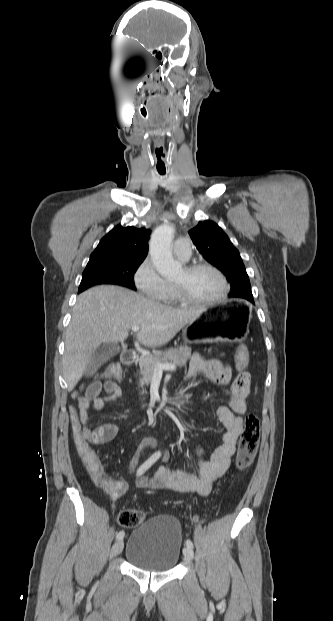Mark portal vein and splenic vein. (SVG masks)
<instances>
[{"mask_svg":"<svg viewBox=\"0 0 333 621\" xmlns=\"http://www.w3.org/2000/svg\"><path fill=\"white\" fill-rule=\"evenodd\" d=\"M140 327L138 326H134L132 327V331L137 332L139 331ZM177 368V366L175 364H157V367L155 368V372L156 373H162L163 370H167V371H175Z\"/></svg>","mask_w":333,"mask_h":621,"instance_id":"1","label":"portal vein and splenic vein"}]
</instances>
